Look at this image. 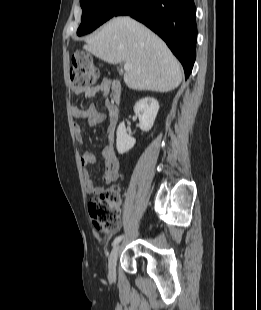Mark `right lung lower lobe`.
I'll list each match as a JSON object with an SVG mask.
<instances>
[{"mask_svg":"<svg viewBox=\"0 0 261 310\" xmlns=\"http://www.w3.org/2000/svg\"><path fill=\"white\" fill-rule=\"evenodd\" d=\"M119 15H130L158 34L182 63L188 78L196 57L194 0H128L115 14Z\"/></svg>","mask_w":261,"mask_h":310,"instance_id":"1","label":"right lung lower lobe"}]
</instances>
